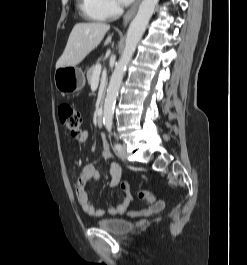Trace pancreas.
<instances>
[{
  "label": "pancreas",
  "instance_id": "cf45deb5",
  "mask_svg": "<svg viewBox=\"0 0 247 265\" xmlns=\"http://www.w3.org/2000/svg\"><path fill=\"white\" fill-rule=\"evenodd\" d=\"M100 64L99 63H96L95 65H93L91 68H89L88 70H87V80H88V83H91V81H92V76H93V73H94V71H95V68L97 67V66H99Z\"/></svg>",
  "mask_w": 247,
  "mask_h": 265
}]
</instances>
